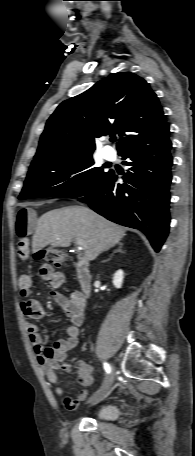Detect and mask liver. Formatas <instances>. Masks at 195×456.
<instances>
[{
	"mask_svg": "<svg viewBox=\"0 0 195 456\" xmlns=\"http://www.w3.org/2000/svg\"><path fill=\"white\" fill-rule=\"evenodd\" d=\"M125 232V228L86 207H64L48 211L38 219L32 251L36 253L48 245L66 248L80 238L87 245L84 259L92 261L118 244L126 235Z\"/></svg>",
	"mask_w": 195,
	"mask_h": 456,
	"instance_id": "1",
	"label": "liver"
}]
</instances>
